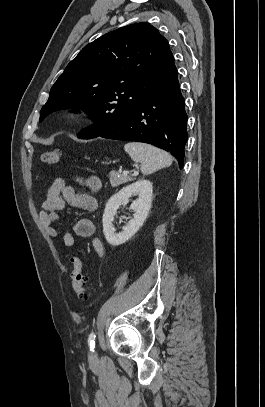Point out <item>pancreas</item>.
Here are the masks:
<instances>
[{
    "mask_svg": "<svg viewBox=\"0 0 265 407\" xmlns=\"http://www.w3.org/2000/svg\"><path fill=\"white\" fill-rule=\"evenodd\" d=\"M109 177H110V183H111L112 187H117L123 183H127V182H130L135 179V178L117 173L115 171H111L109 173Z\"/></svg>",
    "mask_w": 265,
    "mask_h": 407,
    "instance_id": "cf45deb5",
    "label": "pancreas"
}]
</instances>
